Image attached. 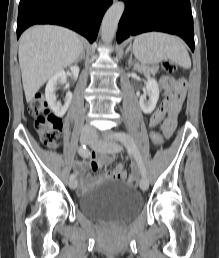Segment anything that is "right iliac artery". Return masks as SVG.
Segmentation results:
<instances>
[{"mask_svg": "<svg viewBox=\"0 0 219 258\" xmlns=\"http://www.w3.org/2000/svg\"><path fill=\"white\" fill-rule=\"evenodd\" d=\"M78 153H79L80 156H82V157H84V158H87V157H89V155H90V151L86 148L85 145L81 146V147L78 149ZM75 177H76V176H75L74 173L71 174V175H70V180L75 179Z\"/></svg>", "mask_w": 219, "mask_h": 258, "instance_id": "right-iliac-artery-1", "label": "right iliac artery"}]
</instances>
